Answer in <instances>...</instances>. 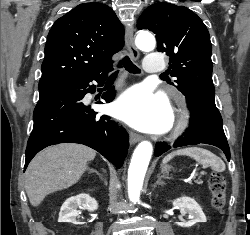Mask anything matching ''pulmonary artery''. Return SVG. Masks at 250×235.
Masks as SVG:
<instances>
[{"label": "pulmonary artery", "mask_w": 250, "mask_h": 235, "mask_svg": "<svg viewBox=\"0 0 250 235\" xmlns=\"http://www.w3.org/2000/svg\"><path fill=\"white\" fill-rule=\"evenodd\" d=\"M144 70L149 73H158L164 70L165 62L158 52L148 53L143 64Z\"/></svg>", "instance_id": "1"}]
</instances>
